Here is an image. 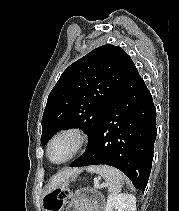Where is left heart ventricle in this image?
<instances>
[{
  "label": "left heart ventricle",
  "mask_w": 179,
  "mask_h": 211,
  "mask_svg": "<svg viewBox=\"0 0 179 211\" xmlns=\"http://www.w3.org/2000/svg\"><path fill=\"white\" fill-rule=\"evenodd\" d=\"M74 142L70 137H64L57 140L51 147L50 157L53 161L64 160L72 151Z\"/></svg>",
  "instance_id": "1"
}]
</instances>
